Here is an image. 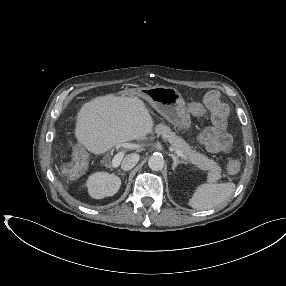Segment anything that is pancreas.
<instances>
[{"mask_svg":"<svg viewBox=\"0 0 286 286\" xmlns=\"http://www.w3.org/2000/svg\"><path fill=\"white\" fill-rule=\"evenodd\" d=\"M155 133L168 140L174 150H180L196 167L203 171L207 170L208 181L216 182L221 178V168L214 160L208 159L205 155L192 150L189 144L181 137H178L168 126L164 124L157 125Z\"/></svg>","mask_w":286,"mask_h":286,"instance_id":"pancreas-1","label":"pancreas"}]
</instances>
